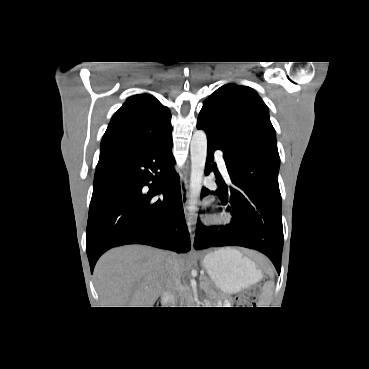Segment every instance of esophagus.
<instances>
[{
  "mask_svg": "<svg viewBox=\"0 0 369 369\" xmlns=\"http://www.w3.org/2000/svg\"><path fill=\"white\" fill-rule=\"evenodd\" d=\"M181 196H182V204H183V209L185 212V216H186V220H187V225L189 228V232L191 234V241H194V231H195V225H196V220L192 217L189 216L188 214V179L185 176H181Z\"/></svg>",
  "mask_w": 369,
  "mask_h": 369,
  "instance_id": "obj_1",
  "label": "esophagus"
}]
</instances>
